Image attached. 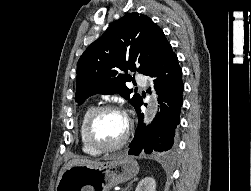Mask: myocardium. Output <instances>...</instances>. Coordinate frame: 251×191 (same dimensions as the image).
I'll return each mask as SVG.
<instances>
[{"label":"myocardium","mask_w":251,"mask_h":191,"mask_svg":"<svg viewBox=\"0 0 251 191\" xmlns=\"http://www.w3.org/2000/svg\"><path fill=\"white\" fill-rule=\"evenodd\" d=\"M106 111H113L118 113L125 121V131L121 140L109 146L101 145L98 142H96L95 139L93 138V133H92L95 121L102 113ZM131 128L132 124L130 119L121 110H119L117 107L111 104H103L95 107L85 119L83 124V140L87 147L96 152L99 153L111 152L121 148L127 142L131 133Z\"/></svg>","instance_id":"f54148a6"}]
</instances>
